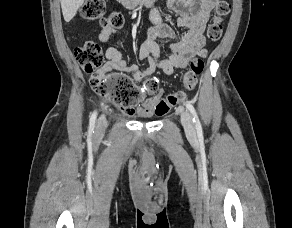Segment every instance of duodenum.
Wrapping results in <instances>:
<instances>
[{
  "instance_id": "1",
  "label": "duodenum",
  "mask_w": 292,
  "mask_h": 228,
  "mask_svg": "<svg viewBox=\"0 0 292 228\" xmlns=\"http://www.w3.org/2000/svg\"><path fill=\"white\" fill-rule=\"evenodd\" d=\"M127 8H135L139 6H147L153 0H120Z\"/></svg>"
}]
</instances>
